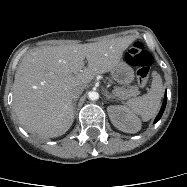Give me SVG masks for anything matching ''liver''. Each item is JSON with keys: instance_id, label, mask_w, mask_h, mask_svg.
<instances>
[{"instance_id": "6515ba94", "label": "liver", "mask_w": 187, "mask_h": 187, "mask_svg": "<svg viewBox=\"0 0 187 187\" xmlns=\"http://www.w3.org/2000/svg\"><path fill=\"white\" fill-rule=\"evenodd\" d=\"M132 42L130 37H120L27 52L13 85L14 110L22 125L45 137L63 135L74 120L71 91L85 88L98 74L112 71Z\"/></svg>"}]
</instances>
